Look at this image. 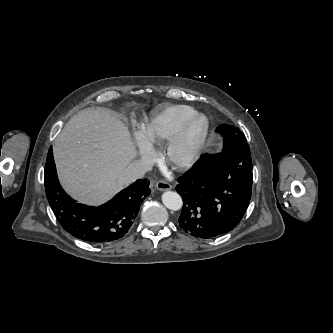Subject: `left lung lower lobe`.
Returning a JSON list of instances; mask_svg holds the SVG:
<instances>
[{
    "label": "left lung lower lobe",
    "mask_w": 333,
    "mask_h": 333,
    "mask_svg": "<svg viewBox=\"0 0 333 333\" xmlns=\"http://www.w3.org/2000/svg\"><path fill=\"white\" fill-rule=\"evenodd\" d=\"M223 151L203 155L178 180L176 191L183 199L180 227L194 237L208 239L233 230L250 204L253 183L249 145L229 150L227 142L243 136L238 128L223 124ZM245 136V135H244Z\"/></svg>",
    "instance_id": "obj_1"
}]
</instances>
